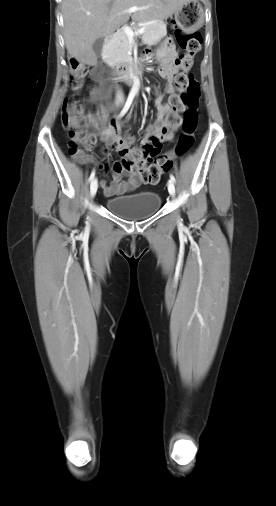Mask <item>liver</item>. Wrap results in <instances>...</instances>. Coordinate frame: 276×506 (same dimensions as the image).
Segmentation results:
<instances>
[{
    "instance_id": "obj_1",
    "label": "liver",
    "mask_w": 276,
    "mask_h": 506,
    "mask_svg": "<svg viewBox=\"0 0 276 506\" xmlns=\"http://www.w3.org/2000/svg\"><path fill=\"white\" fill-rule=\"evenodd\" d=\"M190 0H63L64 39L68 54L78 61L95 65L94 42L112 34L126 23L136 6L134 21L167 19Z\"/></svg>"
}]
</instances>
